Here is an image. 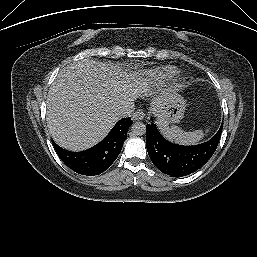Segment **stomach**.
I'll use <instances>...</instances> for the list:
<instances>
[{
    "label": "stomach",
    "instance_id": "1",
    "mask_svg": "<svg viewBox=\"0 0 257 257\" xmlns=\"http://www.w3.org/2000/svg\"><path fill=\"white\" fill-rule=\"evenodd\" d=\"M186 103L184 98L175 91H165L163 100L151 110L157 118V124L178 123L184 116Z\"/></svg>",
    "mask_w": 257,
    "mask_h": 257
}]
</instances>
